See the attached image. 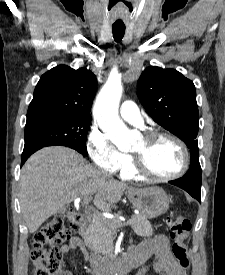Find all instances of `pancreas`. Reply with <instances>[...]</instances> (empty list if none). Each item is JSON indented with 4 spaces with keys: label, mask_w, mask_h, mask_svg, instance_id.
Returning <instances> with one entry per match:
<instances>
[{
    "label": "pancreas",
    "mask_w": 225,
    "mask_h": 275,
    "mask_svg": "<svg viewBox=\"0 0 225 275\" xmlns=\"http://www.w3.org/2000/svg\"><path fill=\"white\" fill-rule=\"evenodd\" d=\"M131 224L134 232L138 236L150 237L154 234V230L143 215H133ZM122 223L119 219H105L102 217L94 218L88 225L85 239L88 247L95 253L110 255L113 247L114 236Z\"/></svg>",
    "instance_id": "obj_1"
}]
</instances>
